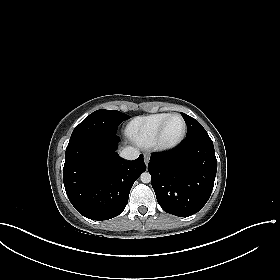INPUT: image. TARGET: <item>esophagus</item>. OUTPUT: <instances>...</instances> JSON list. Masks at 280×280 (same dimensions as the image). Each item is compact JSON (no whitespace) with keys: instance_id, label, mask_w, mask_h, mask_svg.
<instances>
[{"instance_id":"34e87169","label":"esophagus","mask_w":280,"mask_h":280,"mask_svg":"<svg viewBox=\"0 0 280 280\" xmlns=\"http://www.w3.org/2000/svg\"><path fill=\"white\" fill-rule=\"evenodd\" d=\"M150 157L148 154H144V162L147 165L149 163Z\"/></svg>"}]
</instances>
